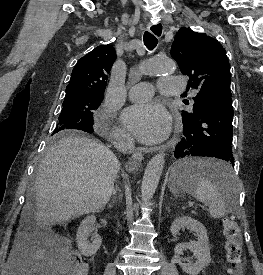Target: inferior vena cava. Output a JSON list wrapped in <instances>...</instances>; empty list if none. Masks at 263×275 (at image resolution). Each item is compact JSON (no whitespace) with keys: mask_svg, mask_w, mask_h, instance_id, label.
<instances>
[{"mask_svg":"<svg viewBox=\"0 0 263 275\" xmlns=\"http://www.w3.org/2000/svg\"><path fill=\"white\" fill-rule=\"evenodd\" d=\"M114 146L119 151L126 153L134 148V141L129 134L122 133L114 139Z\"/></svg>","mask_w":263,"mask_h":275,"instance_id":"602c4592","label":"inferior vena cava"}]
</instances>
